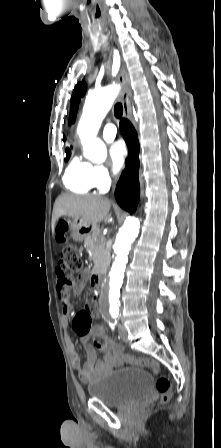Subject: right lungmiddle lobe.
<instances>
[{
	"instance_id": "obj_1",
	"label": "right lung middle lobe",
	"mask_w": 221,
	"mask_h": 448,
	"mask_svg": "<svg viewBox=\"0 0 221 448\" xmlns=\"http://www.w3.org/2000/svg\"><path fill=\"white\" fill-rule=\"evenodd\" d=\"M70 154H71V152H66V158H65V161H67V160L69 159Z\"/></svg>"
}]
</instances>
